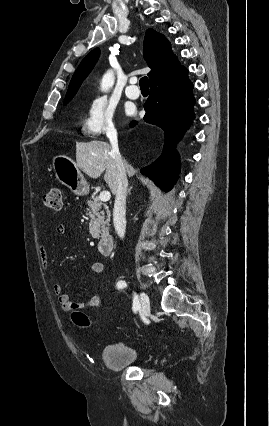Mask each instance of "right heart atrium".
Returning <instances> with one entry per match:
<instances>
[{"label":"right heart atrium","mask_w":269,"mask_h":426,"mask_svg":"<svg viewBox=\"0 0 269 426\" xmlns=\"http://www.w3.org/2000/svg\"><path fill=\"white\" fill-rule=\"evenodd\" d=\"M115 107L104 96L93 97L83 111L81 131L88 136L115 133Z\"/></svg>","instance_id":"1"}]
</instances>
